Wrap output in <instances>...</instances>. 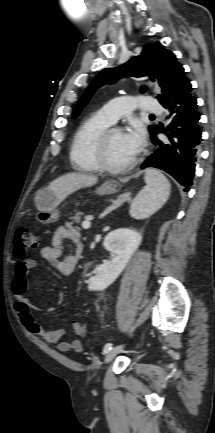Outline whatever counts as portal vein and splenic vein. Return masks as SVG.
I'll use <instances>...</instances> for the list:
<instances>
[{
    "instance_id": "18ae733b",
    "label": "portal vein and splenic vein",
    "mask_w": 215,
    "mask_h": 433,
    "mask_svg": "<svg viewBox=\"0 0 215 433\" xmlns=\"http://www.w3.org/2000/svg\"><path fill=\"white\" fill-rule=\"evenodd\" d=\"M90 226H91V223H90V220H89V219H86V220L83 221V223H82V227H83L84 229H88V228H90Z\"/></svg>"
}]
</instances>
